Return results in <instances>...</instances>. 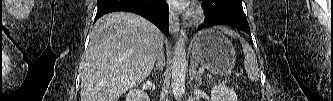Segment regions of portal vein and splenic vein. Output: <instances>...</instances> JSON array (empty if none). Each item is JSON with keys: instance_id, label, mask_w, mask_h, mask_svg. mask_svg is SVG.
Listing matches in <instances>:
<instances>
[{"instance_id": "1", "label": "portal vein and splenic vein", "mask_w": 333, "mask_h": 101, "mask_svg": "<svg viewBox=\"0 0 333 101\" xmlns=\"http://www.w3.org/2000/svg\"><path fill=\"white\" fill-rule=\"evenodd\" d=\"M204 71V69L202 68L201 70H200V72L202 73Z\"/></svg>"}]
</instances>
